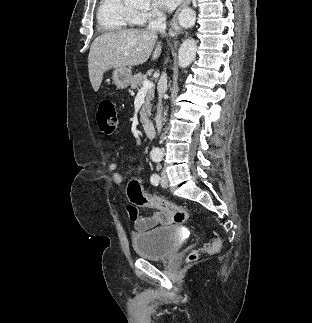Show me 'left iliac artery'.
<instances>
[{"label":"left iliac artery","mask_w":312,"mask_h":323,"mask_svg":"<svg viewBox=\"0 0 312 323\" xmlns=\"http://www.w3.org/2000/svg\"><path fill=\"white\" fill-rule=\"evenodd\" d=\"M153 160L155 161V162H158V161H160V159L159 158H153ZM151 183L153 184V185H155V186H157L158 185V183H159V180H160V177H159V175L158 174H153L152 176H151Z\"/></svg>","instance_id":"left-iliac-artery-1"}]
</instances>
